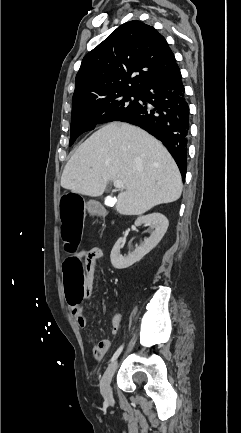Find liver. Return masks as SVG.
<instances>
[{
    "instance_id": "obj_1",
    "label": "liver",
    "mask_w": 241,
    "mask_h": 433,
    "mask_svg": "<svg viewBox=\"0 0 241 433\" xmlns=\"http://www.w3.org/2000/svg\"><path fill=\"white\" fill-rule=\"evenodd\" d=\"M111 180L125 185L116 202L122 215H141L182 193L180 171L163 144L126 123L105 125L82 143L65 165L61 186L98 197Z\"/></svg>"
}]
</instances>
